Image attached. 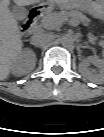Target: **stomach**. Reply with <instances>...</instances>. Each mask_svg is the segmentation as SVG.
<instances>
[{"instance_id":"0dacf381","label":"stomach","mask_w":104,"mask_h":137,"mask_svg":"<svg viewBox=\"0 0 104 137\" xmlns=\"http://www.w3.org/2000/svg\"><path fill=\"white\" fill-rule=\"evenodd\" d=\"M103 3V0H79L68 5L67 8H79L93 15H97L102 11Z\"/></svg>"}]
</instances>
